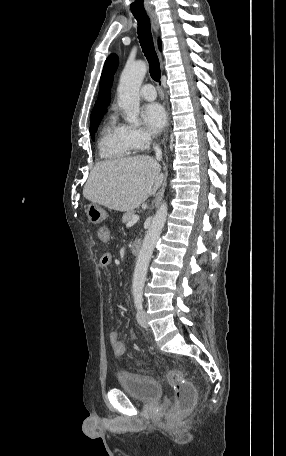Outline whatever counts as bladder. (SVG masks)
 <instances>
[{"label": "bladder", "instance_id": "31cf9c89", "mask_svg": "<svg viewBox=\"0 0 286 456\" xmlns=\"http://www.w3.org/2000/svg\"><path fill=\"white\" fill-rule=\"evenodd\" d=\"M117 383L119 389L141 402L158 401L163 396L161 385L149 376L121 371L117 376Z\"/></svg>", "mask_w": 286, "mask_h": 456}]
</instances>
